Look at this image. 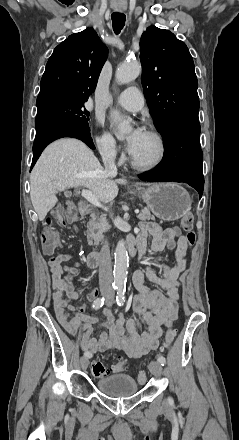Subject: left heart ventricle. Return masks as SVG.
<instances>
[{"label": "left heart ventricle", "instance_id": "b2bd125f", "mask_svg": "<svg viewBox=\"0 0 239 440\" xmlns=\"http://www.w3.org/2000/svg\"><path fill=\"white\" fill-rule=\"evenodd\" d=\"M159 153V148L156 140L145 132L138 143L133 156L144 164H150L155 161Z\"/></svg>", "mask_w": 239, "mask_h": 440}]
</instances>
